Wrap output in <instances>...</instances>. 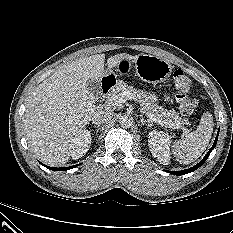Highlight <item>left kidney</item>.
I'll return each instance as SVG.
<instances>
[{
	"label": "left kidney",
	"mask_w": 233,
	"mask_h": 233,
	"mask_svg": "<svg viewBox=\"0 0 233 233\" xmlns=\"http://www.w3.org/2000/svg\"><path fill=\"white\" fill-rule=\"evenodd\" d=\"M148 144L152 155L162 164L170 162L169 136L163 132L151 131L148 137Z\"/></svg>",
	"instance_id": "1"
}]
</instances>
